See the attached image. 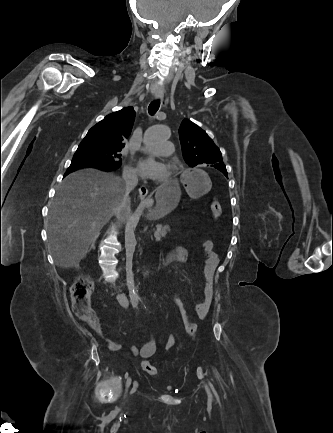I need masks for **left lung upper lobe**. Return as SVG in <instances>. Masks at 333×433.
Wrapping results in <instances>:
<instances>
[{"instance_id":"obj_1","label":"left lung upper lobe","mask_w":333,"mask_h":433,"mask_svg":"<svg viewBox=\"0 0 333 433\" xmlns=\"http://www.w3.org/2000/svg\"><path fill=\"white\" fill-rule=\"evenodd\" d=\"M182 153L190 167L200 164L219 165L227 176L220 150L198 125L184 119L179 128Z\"/></svg>"}]
</instances>
